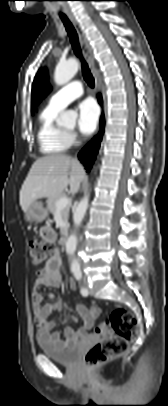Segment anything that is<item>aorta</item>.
<instances>
[{"label":"aorta","mask_w":168,"mask_h":406,"mask_svg":"<svg viewBox=\"0 0 168 406\" xmlns=\"http://www.w3.org/2000/svg\"><path fill=\"white\" fill-rule=\"evenodd\" d=\"M79 69V62L74 59L70 58L63 63H59L55 68L54 73V81L57 85H65L67 84L77 73ZM77 118V113L75 111H66L59 117V123L64 126H68L75 123ZM89 203V195H86L82 198L79 202L74 215L73 221L76 227L80 226L82 219L87 211ZM77 236L76 234H71L66 242V252L71 257L74 256L76 247H77ZM72 269H79L80 265L77 259L74 257L72 258L71 262Z\"/></svg>","instance_id":"aorta-1"}]
</instances>
